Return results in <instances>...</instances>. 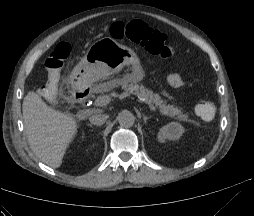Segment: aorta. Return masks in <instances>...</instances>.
<instances>
[{
    "label": "aorta",
    "instance_id": "obj_1",
    "mask_svg": "<svg viewBox=\"0 0 254 216\" xmlns=\"http://www.w3.org/2000/svg\"><path fill=\"white\" fill-rule=\"evenodd\" d=\"M117 120L120 126L124 128H129L135 123V116L130 111H122L118 114Z\"/></svg>",
    "mask_w": 254,
    "mask_h": 216
}]
</instances>
